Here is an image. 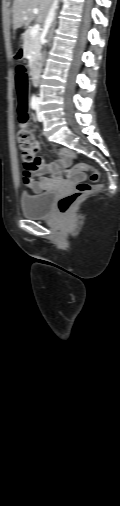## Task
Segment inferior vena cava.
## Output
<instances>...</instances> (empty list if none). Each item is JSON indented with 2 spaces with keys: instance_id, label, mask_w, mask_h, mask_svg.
<instances>
[{
  "instance_id": "inferior-vena-cava-1",
  "label": "inferior vena cava",
  "mask_w": 120,
  "mask_h": 506,
  "mask_svg": "<svg viewBox=\"0 0 120 506\" xmlns=\"http://www.w3.org/2000/svg\"><path fill=\"white\" fill-rule=\"evenodd\" d=\"M57 5H58V0H54L53 4L48 12V15L46 17V20H45V31H48L49 27L51 26V23L54 20Z\"/></svg>"
}]
</instances>
